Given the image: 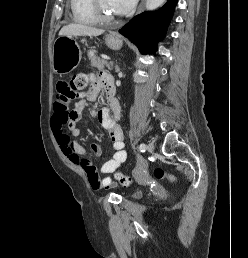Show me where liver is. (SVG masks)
Returning a JSON list of instances; mask_svg holds the SVG:
<instances>
[{
    "instance_id": "obj_1",
    "label": "liver",
    "mask_w": 248,
    "mask_h": 258,
    "mask_svg": "<svg viewBox=\"0 0 248 258\" xmlns=\"http://www.w3.org/2000/svg\"><path fill=\"white\" fill-rule=\"evenodd\" d=\"M103 33L104 30L102 29L72 23L62 27L59 36H99Z\"/></svg>"
}]
</instances>
